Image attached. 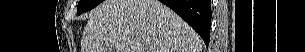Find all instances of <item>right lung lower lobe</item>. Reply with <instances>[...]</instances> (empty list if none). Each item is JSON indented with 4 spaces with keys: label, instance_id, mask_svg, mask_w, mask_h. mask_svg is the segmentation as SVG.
Listing matches in <instances>:
<instances>
[{
    "label": "right lung lower lobe",
    "instance_id": "1",
    "mask_svg": "<svg viewBox=\"0 0 305 52\" xmlns=\"http://www.w3.org/2000/svg\"><path fill=\"white\" fill-rule=\"evenodd\" d=\"M185 20L204 40L210 41V0H159Z\"/></svg>",
    "mask_w": 305,
    "mask_h": 52
}]
</instances>
